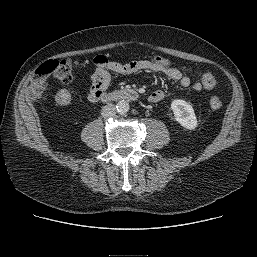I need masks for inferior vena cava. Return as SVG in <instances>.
Wrapping results in <instances>:
<instances>
[{
    "mask_svg": "<svg viewBox=\"0 0 257 257\" xmlns=\"http://www.w3.org/2000/svg\"><path fill=\"white\" fill-rule=\"evenodd\" d=\"M101 115L104 118L114 117L116 115V107L112 103H108L102 108Z\"/></svg>",
    "mask_w": 257,
    "mask_h": 257,
    "instance_id": "1",
    "label": "inferior vena cava"
}]
</instances>
